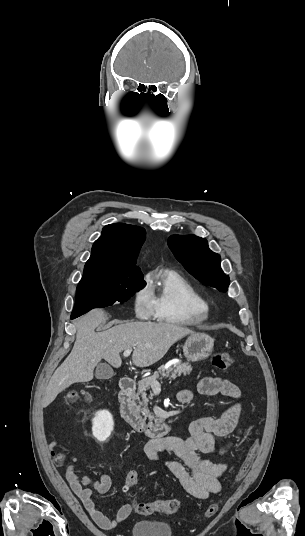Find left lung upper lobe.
I'll return each mask as SVG.
<instances>
[{
  "mask_svg": "<svg viewBox=\"0 0 305 536\" xmlns=\"http://www.w3.org/2000/svg\"><path fill=\"white\" fill-rule=\"evenodd\" d=\"M168 246L185 269L199 281L226 292L230 283L220 267L221 258L208 248L207 241L195 235H174Z\"/></svg>",
  "mask_w": 305,
  "mask_h": 536,
  "instance_id": "1",
  "label": "left lung upper lobe"
}]
</instances>
